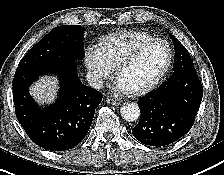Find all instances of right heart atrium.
<instances>
[{
	"label": "right heart atrium",
	"mask_w": 224,
	"mask_h": 175,
	"mask_svg": "<svg viewBox=\"0 0 224 175\" xmlns=\"http://www.w3.org/2000/svg\"><path fill=\"white\" fill-rule=\"evenodd\" d=\"M85 62L90 79L95 86H101L113 73L114 67L104 58L98 48L89 47L87 49Z\"/></svg>",
	"instance_id": "right-heart-atrium-1"
}]
</instances>
